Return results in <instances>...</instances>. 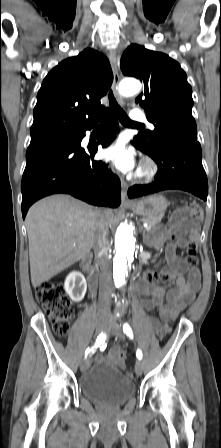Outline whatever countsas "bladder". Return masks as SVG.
Here are the masks:
<instances>
[{"instance_id":"obj_1","label":"bladder","mask_w":221,"mask_h":448,"mask_svg":"<svg viewBox=\"0 0 221 448\" xmlns=\"http://www.w3.org/2000/svg\"><path fill=\"white\" fill-rule=\"evenodd\" d=\"M82 395L105 406L119 407L135 394L134 381L111 362H100L86 371L79 381Z\"/></svg>"}]
</instances>
